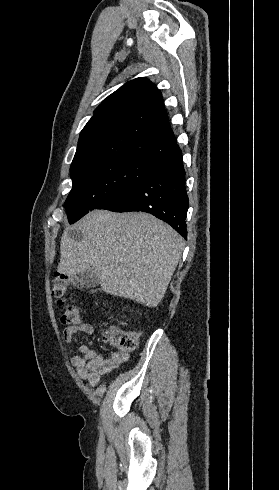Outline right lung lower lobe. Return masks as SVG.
Here are the masks:
<instances>
[{"instance_id": "1", "label": "right lung lower lobe", "mask_w": 279, "mask_h": 490, "mask_svg": "<svg viewBox=\"0 0 279 490\" xmlns=\"http://www.w3.org/2000/svg\"><path fill=\"white\" fill-rule=\"evenodd\" d=\"M188 207L185 170L178 147L155 162L140 180L106 197L96 209L144 211L167 222L187 239L185 219Z\"/></svg>"}]
</instances>
